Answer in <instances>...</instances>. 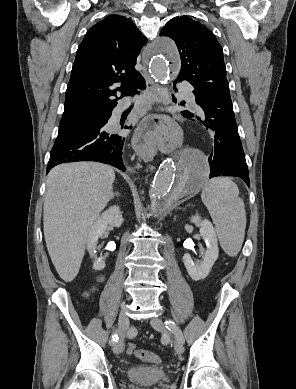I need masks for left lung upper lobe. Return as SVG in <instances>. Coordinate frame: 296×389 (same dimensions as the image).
Segmentation results:
<instances>
[{
    "label": "left lung upper lobe",
    "instance_id": "1",
    "mask_svg": "<svg viewBox=\"0 0 296 389\" xmlns=\"http://www.w3.org/2000/svg\"><path fill=\"white\" fill-rule=\"evenodd\" d=\"M160 36L173 39L181 56L177 81L228 82L223 50L214 34L188 16L174 17L163 27Z\"/></svg>",
    "mask_w": 296,
    "mask_h": 389
}]
</instances>
